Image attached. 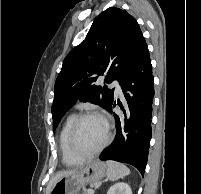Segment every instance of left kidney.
<instances>
[{"label": "left kidney", "mask_w": 201, "mask_h": 194, "mask_svg": "<svg viewBox=\"0 0 201 194\" xmlns=\"http://www.w3.org/2000/svg\"><path fill=\"white\" fill-rule=\"evenodd\" d=\"M107 194H132V190L127 183L119 182L112 185Z\"/></svg>", "instance_id": "obj_1"}]
</instances>
